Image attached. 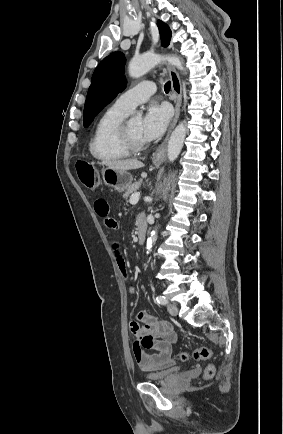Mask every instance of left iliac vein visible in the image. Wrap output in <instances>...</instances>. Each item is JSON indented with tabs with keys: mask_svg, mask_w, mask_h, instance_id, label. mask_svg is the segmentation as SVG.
<instances>
[{
	"mask_svg": "<svg viewBox=\"0 0 283 434\" xmlns=\"http://www.w3.org/2000/svg\"><path fill=\"white\" fill-rule=\"evenodd\" d=\"M167 310L172 316H176L178 314V307L175 304L167 305Z\"/></svg>",
	"mask_w": 283,
	"mask_h": 434,
	"instance_id": "1",
	"label": "left iliac vein"
}]
</instances>
